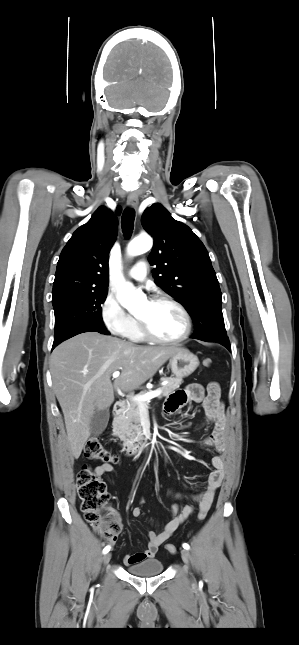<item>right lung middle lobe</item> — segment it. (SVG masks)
I'll return each mask as SVG.
<instances>
[{
  "mask_svg": "<svg viewBox=\"0 0 299 645\" xmlns=\"http://www.w3.org/2000/svg\"><path fill=\"white\" fill-rule=\"evenodd\" d=\"M108 290L65 292L52 300L55 312L54 342L81 328L106 330L101 316V304Z\"/></svg>",
  "mask_w": 299,
  "mask_h": 645,
  "instance_id": "1",
  "label": "right lung middle lobe"
}]
</instances>
